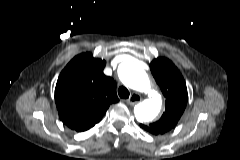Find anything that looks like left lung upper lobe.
<instances>
[{
	"label": "left lung upper lobe",
	"instance_id": "1",
	"mask_svg": "<svg viewBox=\"0 0 240 160\" xmlns=\"http://www.w3.org/2000/svg\"><path fill=\"white\" fill-rule=\"evenodd\" d=\"M150 69L166 98V108L158 121L141 127L155 135L164 134L176 126L185 110L187 87L177 67L167 58L154 59Z\"/></svg>",
	"mask_w": 240,
	"mask_h": 160
}]
</instances>
